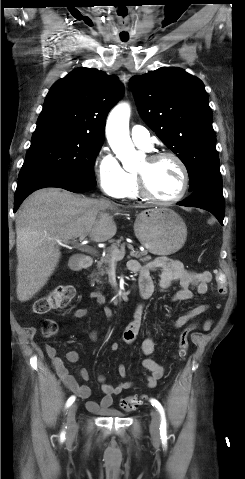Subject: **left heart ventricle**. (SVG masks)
I'll return each instance as SVG.
<instances>
[{
	"instance_id": "1",
	"label": "left heart ventricle",
	"mask_w": 245,
	"mask_h": 479,
	"mask_svg": "<svg viewBox=\"0 0 245 479\" xmlns=\"http://www.w3.org/2000/svg\"><path fill=\"white\" fill-rule=\"evenodd\" d=\"M138 172L145 173L149 190L160 199H170L180 190L181 171L172 159L164 158L152 164L146 159Z\"/></svg>"
}]
</instances>
